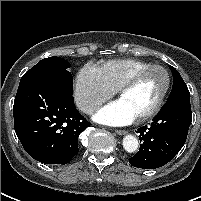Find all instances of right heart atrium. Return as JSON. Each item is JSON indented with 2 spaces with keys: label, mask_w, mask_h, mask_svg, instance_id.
Instances as JSON below:
<instances>
[{
  "label": "right heart atrium",
  "mask_w": 201,
  "mask_h": 201,
  "mask_svg": "<svg viewBox=\"0 0 201 201\" xmlns=\"http://www.w3.org/2000/svg\"><path fill=\"white\" fill-rule=\"evenodd\" d=\"M114 93L97 67L85 65L79 70L75 80L74 97L77 106L84 113H94Z\"/></svg>",
  "instance_id": "obj_1"
}]
</instances>
